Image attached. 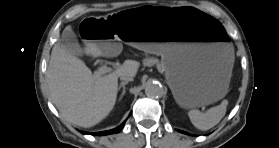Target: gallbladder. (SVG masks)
Masks as SVG:
<instances>
[{
  "label": "gallbladder",
  "instance_id": "1",
  "mask_svg": "<svg viewBox=\"0 0 279 148\" xmlns=\"http://www.w3.org/2000/svg\"><path fill=\"white\" fill-rule=\"evenodd\" d=\"M58 43L72 55H83V50L78 43L76 34L70 27L63 31Z\"/></svg>",
  "mask_w": 279,
  "mask_h": 148
}]
</instances>
